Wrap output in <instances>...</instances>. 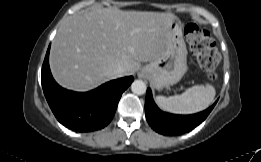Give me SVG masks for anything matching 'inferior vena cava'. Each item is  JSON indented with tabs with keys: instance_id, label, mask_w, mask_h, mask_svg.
<instances>
[{
	"instance_id": "1",
	"label": "inferior vena cava",
	"mask_w": 261,
	"mask_h": 162,
	"mask_svg": "<svg viewBox=\"0 0 261 162\" xmlns=\"http://www.w3.org/2000/svg\"><path fill=\"white\" fill-rule=\"evenodd\" d=\"M113 73L116 78L122 77L126 75V68L124 66L119 65L113 70Z\"/></svg>"
}]
</instances>
